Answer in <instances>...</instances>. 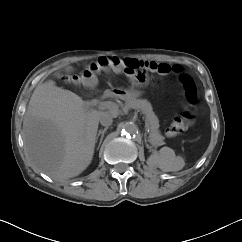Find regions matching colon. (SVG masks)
<instances>
[{
  "label": "colon",
  "instance_id": "colon-1",
  "mask_svg": "<svg viewBox=\"0 0 242 242\" xmlns=\"http://www.w3.org/2000/svg\"><path fill=\"white\" fill-rule=\"evenodd\" d=\"M121 71L131 77L136 85H143L154 79L157 75L166 76L175 73L182 82L185 90V97L189 103H194L197 99V91L192 79L182 72L178 65L157 63L153 61H139L136 59L120 58L117 56H103L92 61L79 76H73V80L91 83L93 76L100 70ZM193 120L190 110H185L181 116L176 117L167 128L168 135H175L188 128Z\"/></svg>",
  "mask_w": 242,
  "mask_h": 242
}]
</instances>
